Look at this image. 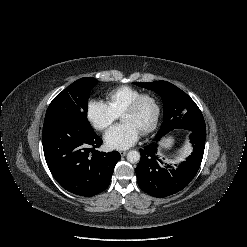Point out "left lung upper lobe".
<instances>
[{"label": "left lung upper lobe", "instance_id": "left-lung-upper-lobe-1", "mask_svg": "<svg viewBox=\"0 0 247 247\" xmlns=\"http://www.w3.org/2000/svg\"><path fill=\"white\" fill-rule=\"evenodd\" d=\"M135 84L155 91L163 100L164 118L155 140L175 129L187 131L206 129L203 115L196 103L175 85L161 80L150 83L135 82Z\"/></svg>", "mask_w": 247, "mask_h": 247}]
</instances>
